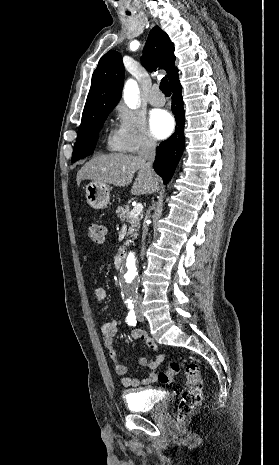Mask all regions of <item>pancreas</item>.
Masks as SVG:
<instances>
[{"instance_id": "obj_1", "label": "pancreas", "mask_w": 279, "mask_h": 465, "mask_svg": "<svg viewBox=\"0 0 279 465\" xmlns=\"http://www.w3.org/2000/svg\"><path fill=\"white\" fill-rule=\"evenodd\" d=\"M118 217L122 222L126 221L129 224L128 235L136 238L138 236V231L140 228V219L138 217L133 218L130 216V207L129 206H119L116 210ZM128 244L133 242L132 240L126 241ZM125 248V247H124Z\"/></svg>"}]
</instances>
